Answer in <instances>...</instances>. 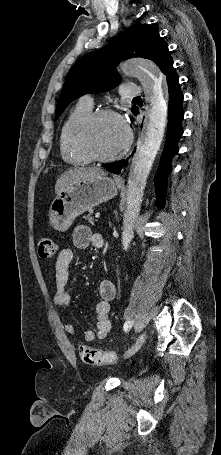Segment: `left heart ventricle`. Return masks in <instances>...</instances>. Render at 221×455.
Segmentation results:
<instances>
[{
  "instance_id": "left-heart-ventricle-1",
  "label": "left heart ventricle",
  "mask_w": 221,
  "mask_h": 455,
  "mask_svg": "<svg viewBox=\"0 0 221 455\" xmlns=\"http://www.w3.org/2000/svg\"><path fill=\"white\" fill-rule=\"evenodd\" d=\"M126 141L123 124L114 117H104L96 122L90 135V145L95 153L107 156L120 150Z\"/></svg>"
}]
</instances>
